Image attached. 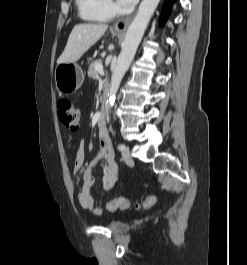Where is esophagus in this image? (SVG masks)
<instances>
[{"mask_svg":"<svg viewBox=\"0 0 247 265\" xmlns=\"http://www.w3.org/2000/svg\"><path fill=\"white\" fill-rule=\"evenodd\" d=\"M132 15L129 17H126L125 19L119 20L114 25V30L118 32H125L129 26V23L131 22Z\"/></svg>","mask_w":247,"mask_h":265,"instance_id":"1","label":"esophagus"}]
</instances>
